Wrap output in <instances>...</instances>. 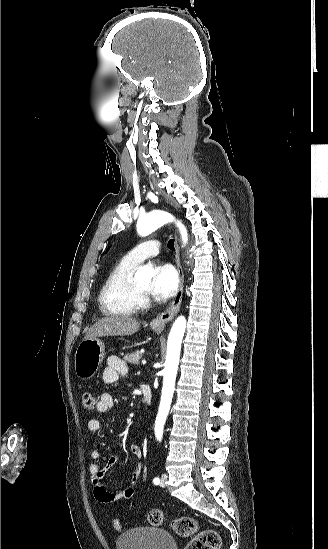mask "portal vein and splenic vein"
Returning <instances> with one entry per match:
<instances>
[{
  "mask_svg": "<svg viewBox=\"0 0 328 549\" xmlns=\"http://www.w3.org/2000/svg\"><path fill=\"white\" fill-rule=\"evenodd\" d=\"M142 364H145V359H142Z\"/></svg>",
  "mask_w": 328,
  "mask_h": 549,
  "instance_id": "1",
  "label": "portal vein and splenic vein"
}]
</instances>
